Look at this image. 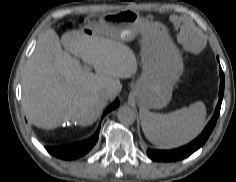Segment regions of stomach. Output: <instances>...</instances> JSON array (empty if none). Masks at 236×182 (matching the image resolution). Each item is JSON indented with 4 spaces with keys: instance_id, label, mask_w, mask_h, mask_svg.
I'll return each instance as SVG.
<instances>
[{
    "instance_id": "stomach-1",
    "label": "stomach",
    "mask_w": 236,
    "mask_h": 182,
    "mask_svg": "<svg viewBox=\"0 0 236 182\" xmlns=\"http://www.w3.org/2000/svg\"><path fill=\"white\" fill-rule=\"evenodd\" d=\"M89 23L93 31L115 40L131 41L138 33L142 35V74L130 98L141 109L165 107L171 100L173 85L183 73V59L165 26L132 10L114 15H94Z\"/></svg>"
}]
</instances>
